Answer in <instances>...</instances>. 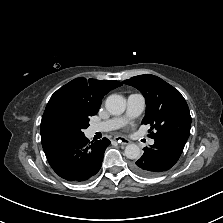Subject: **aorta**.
Listing matches in <instances>:
<instances>
[{
    "label": "aorta",
    "instance_id": "obj_1",
    "mask_svg": "<svg viewBox=\"0 0 223 223\" xmlns=\"http://www.w3.org/2000/svg\"><path fill=\"white\" fill-rule=\"evenodd\" d=\"M105 107L110 114L120 115L125 111L126 100L121 95L112 94L106 99ZM124 153L128 159H138L141 156L139 146L134 143L128 144Z\"/></svg>",
    "mask_w": 223,
    "mask_h": 223
}]
</instances>
